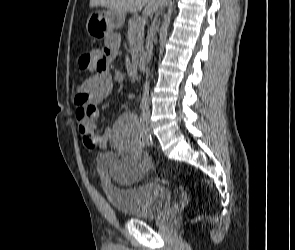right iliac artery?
Returning a JSON list of instances; mask_svg holds the SVG:
<instances>
[{
	"mask_svg": "<svg viewBox=\"0 0 295 250\" xmlns=\"http://www.w3.org/2000/svg\"><path fill=\"white\" fill-rule=\"evenodd\" d=\"M139 122H140V125L141 127L143 128L142 129V132L145 133V136H146V141L149 142L151 141V135L150 133L147 131L146 127H145V124H144V120L140 117L139 119ZM146 147L147 148H151L152 147V144L151 143H147L146 144Z\"/></svg>",
	"mask_w": 295,
	"mask_h": 250,
	"instance_id": "obj_1",
	"label": "right iliac artery"
}]
</instances>
